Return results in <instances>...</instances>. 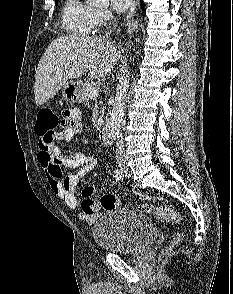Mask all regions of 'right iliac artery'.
Returning a JSON list of instances; mask_svg holds the SVG:
<instances>
[{
    "instance_id": "obj_1",
    "label": "right iliac artery",
    "mask_w": 233,
    "mask_h": 294,
    "mask_svg": "<svg viewBox=\"0 0 233 294\" xmlns=\"http://www.w3.org/2000/svg\"><path fill=\"white\" fill-rule=\"evenodd\" d=\"M114 177H115V180H116V181H121V180L123 179V173H122V171L119 170V169H117V170L115 171V175H114Z\"/></svg>"
}]
</instances>
